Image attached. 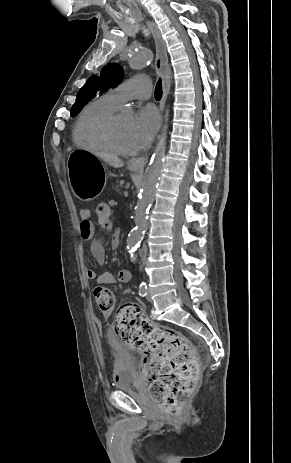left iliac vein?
I'll return each mask as SVG.
<instances>
[{
  "instance_id": "obj_1",
  "label": "left iliac vein",
  "mask_w": 291,
  "mask_h": 463,
  "mask_svg": "<svg viewBox=\"0 0 291 463\" xmlns=\"http://www.w3.org/2000/svg\"><path fill=\"white\" fill-rule=\"evenodd\" d=\"M146 299H147V301L152 302V298H151L150 294L146 295Z\"/></svg>"
}]
</instances>
